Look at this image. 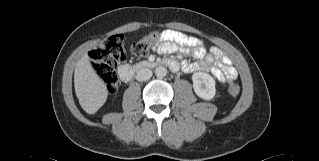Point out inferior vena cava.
Returning <instances> with one entry per match:
<instances>
[{
	"label": "inferior vena cava",
	"instance_id": "602c4592",
	"mask_svg": "<svg viewBox=\"0 0 319 161\" xmlns=\"http://www.w3.org/2000/svg\"><path fill=\"white\" fill-rule=\"evenodd\" d=\"M153 73L148 68H142L137 72L136 80L139 82L146 81L152 77Z\"/></svg>",
	"mask_w": 319,
	"mask_h": 161
}]
</instances>
